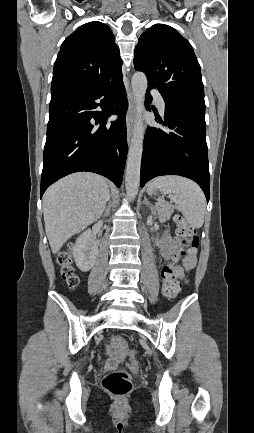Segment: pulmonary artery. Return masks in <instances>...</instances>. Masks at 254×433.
I'll return each mask as SVG.
<instances>
[{"instance_id":"e3ab8cb5","label":"pulmonary artery","mask_w":254,"mask_h":433,"mask_svg":"<svg viewBox=\"0 0 254 433\" xmlns=\"http://www.w3.org/2000/svg\"><path fill=\"white\" fill-rule=\"evenodd\" d=\"M151 93H152V96L154 97V99L156 100V103H157V106H158L160 112L164 113L165 103H164L163 97L161 96V94L156 89H153L151 91Z\"/></svg>"}]
</instances>
